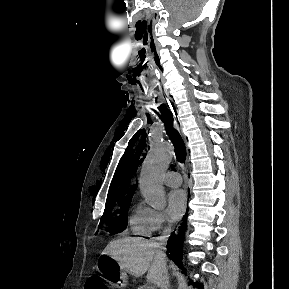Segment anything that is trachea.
<instances>
[{"label":"trachea","mask_w":289,"mask_h":289,"mask_svg":"<svg viewBox=\"0 0 289 289\" xmlns=\"http://www.w3.org/2000/svg\"><path fill=\"white\" fill-rule=\"evenodd\" d=\"M161 113L163 116L162 119L165 122L167 134L174 145L177 161L184 164L186 160V148L179 132L173 127L172 113L166 107L162 108Z\"/></svg>","instance_id":"trachea-1"}]
</instances>
